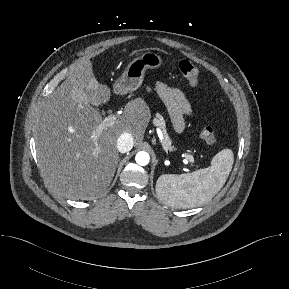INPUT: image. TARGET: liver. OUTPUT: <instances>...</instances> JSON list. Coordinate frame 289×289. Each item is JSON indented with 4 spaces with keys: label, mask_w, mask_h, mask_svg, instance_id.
Segmentation results:
<instances>
[{
    "label": "liver",
    "mask_w": 289,
    "mask_h": 289,
    "mask_svg": "<svg viewBox=\"0 0 289 289\" xmlns=\"http://www.w3.org/2000/svg\"><path fill=\"white\" fill-rule=\"evenodd\" d=\"M110 96L86 58L42 107L35 126L38 164L46 183L62 196L90 200L103 193L119 161V136L130 133L137 144L144 138L150 119L146 103L130 101L115 124L106 126L92 105L105 104Z\"/></svg>",
    "instance_id": "obj_1"
}]
</instances>
